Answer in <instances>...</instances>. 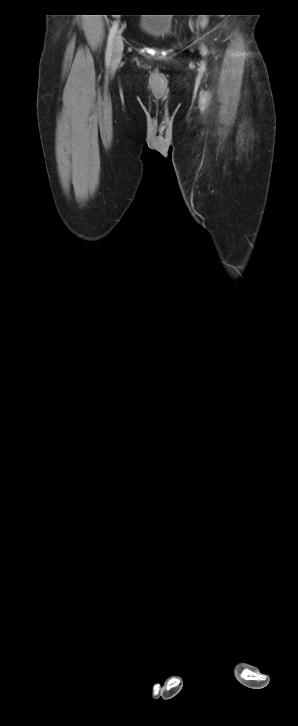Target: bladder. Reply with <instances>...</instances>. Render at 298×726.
<instances>
[{
    "instance_id": "31cf9c89",
    "label": "bladder",
    "mask_w": 298,
    "mask_h": 726,
    "mask_svg": "<svg viewBox=\"0 0 298 726\" xmlns=\"http://www.w3.org/2000/svg\"><path fill=\"white\" fill-rule=\"evenodd\" d=\"M173 20L165 15H150L144 17L139 24L140 30L150 37L162 39L168 36L172 29Z\"/></svg>"
}]
</instances>
